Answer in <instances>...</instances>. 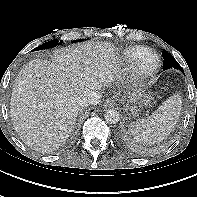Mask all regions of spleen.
Returning <instances> with one entry per match:
<instances>
[{"mask_svg": "<svg viewBox=\"0 0 197 197\" xmlns=\"http://www.w3.org/2000/svg\"><path fill=\"white\" fill-rule=\"evenodd\" d=\"M182 108L181 96L177 93L169 97L147 118L130 124V131L137 141L158 143L173 131Z\"/></svg>", "mask_w": 197, "mask_h": 197, "instance_id": "1", "label": "spleen"}]
</instances>
